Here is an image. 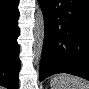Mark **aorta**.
Instances as JSON below:
<instances>
[{"instance_id": "aorta-1", "label": "aorta", "mask_w": 89, "mask_h": 89, "mask_svg": "<svg viewBox=\"0 0 89 89\" xmlns=\"http://www.w3.org/2000/svg\"><path fill=\"white\" fill-rule=\"evenodd\" d=\"M45 34L44 15L39 6H37L35 14V26L33 29L34 41H33V53L34 64L39 65L42 55L43 43Z\"/></svg>"}]
</instances>
